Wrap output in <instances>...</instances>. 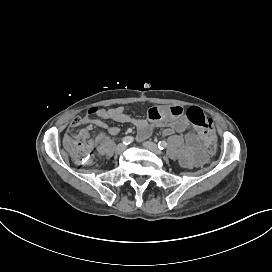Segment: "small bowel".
Here are the masks:
<instances>
[{
  "instance_id": "small-bowel-1",
  "label": "small bowel",
  "mask_w": 272,
  "mask_h": 272,
  "mask_svg": "<svg viewBox=\"0 0 272 272\" xmlns=\"http://www.w3.org/2000/svg\"><path fill=\"white\" fill-rule=\"evenodd\" d=\"M113 120L119 123L134 125L138 131V138L144 140L150 136L153 127H162L166 136L173 133H184L185 147L181 155V164L185 168H194L201 165L205 160V154L199 148V139L195 133L189 130V121L184 109L181 106L173 105L167 107H151L148 110L147 118H133L126 114L123 107L105 109L93 106L88 111L72 120L70 128L79 125L89 124L103 128L111 135H117L120 129L117 126H110L104 120ZM86 132L81 130L80 133ZM70 137L65 136V140Z\"/></svg>"
}]
</instances>
